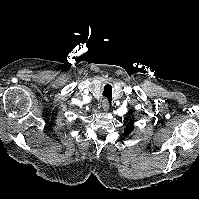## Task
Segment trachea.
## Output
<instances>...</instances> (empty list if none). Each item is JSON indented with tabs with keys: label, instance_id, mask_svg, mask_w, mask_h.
Returning <instances> with one entry per match:
<instances>
[{
	"label": "trachea",
	"instance_id": "3493384b",
	"mask_svg": "<svg viewBox=\"0 0 199 199\" xmlns=\"http://www.w3.org/2000/svg\"><path fill=\"white\" fill-rule=\"evenodd\" d=\"M103 95H104L105 100H107L108 102H111V100H112V86L110 84H106L104 86Z\"/></svg>",
	"mask_w": 199,
	"mask_h": 199
}]
</instances>
